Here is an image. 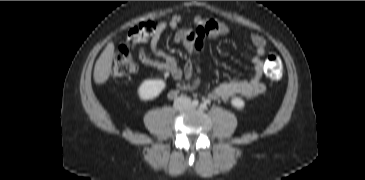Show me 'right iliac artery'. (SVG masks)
I'll return each mask as SVG.
<instances>
[{
	"mask_svg": "<svg viewBox=\"0 0 365 180\" xmlns=\"http://www.w3.org/2000/svg\"><path fill=\"white\" fill-rule=\"evenodd\" d=\"M198 104H199L198 100H193V101H192V105H193L194 107H197V106H198Z\"/></svg>",
	"mask_w": 365,
	"mask_h": 180,
	"instance_id": "1",
	"label": "right iliac artery"
}]
</instances>
